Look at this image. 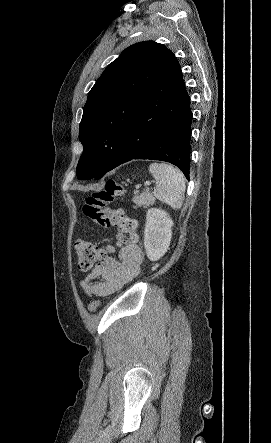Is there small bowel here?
Masks as SVG:
<instances>
[{"label":"small bowel","instance_id":"c3829d8e","mask_svg":"<svg viewBox=\"0 0 271 443\" xmlns=\"http://www.w3.org/2000/svg\"><path fill=\"white\" fill-rule=\"evenodd\" d=\"M142 261V251L135 244L118 251L113 245H108L106 255L92 272L83 277L81 286L90 296H109L139 274Z\"/></svg>","mask_w":271,"mask_h":443}]
</instances>
